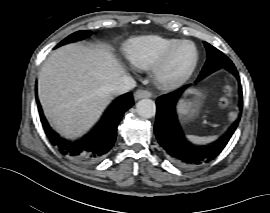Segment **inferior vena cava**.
<instances>
[{
	"mask_svg": "<svg viewBox=\"0 0 270 213\" xmlns=\"http://www.w3.org/2000/svg\"><path fill=\"white\" fill-rule=\"evenodd\" d=\"M134 87H136V81L129 76H123L112 85L111 93L113 95H121L129 92Z\"/></svg>",
	"mask_w": 270,
	"mask_h": 213,
	"instance_id": "602c4592",
	"label": "inferior vena cava"
}]
</instances>
